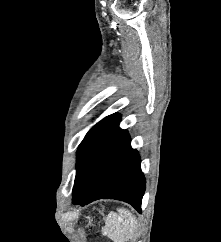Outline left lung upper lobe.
Masks as SVG:
<instances>
[{"label":"left lung upper lobe","instance_id":"1","mask_svg":"<svg viewBox=\"0 0 221 242\" xmlns=\"http://www.w3.org/2000/svg\"><path fill=\"white\" fill-rule=\"evenodd\" d=\"M119 122L120 115L118 113H114L105 117L89 130L77 150V170L92 148Z\"/></svg>","mask_w":221,"mask_h":242}]
</instances>
